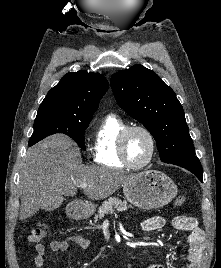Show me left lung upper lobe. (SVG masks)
<instances>
[{
  "label": "left lung upper lobe",
  "mask_w": 221,
  "mask_h": 268,
  "mask_svg": "<svg viewBox=\"0 0 221 268\" xmlns=\"http://www.w3.org/2000/svg\"><path fill=\"white\" fill-rule=\"evenodd\" d=\"M110 83L119 106L154 137L162 162L195 156L183 107L155 72L135 65L115 73Z\"/></svg>",
  "instance_id": "obj_1"
}]
</instances>
